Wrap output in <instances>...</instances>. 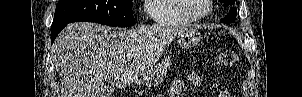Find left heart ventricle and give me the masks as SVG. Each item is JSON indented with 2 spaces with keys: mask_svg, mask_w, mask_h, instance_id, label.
Returning <instances> with one entry per match:
<instances>
[{
  "mask_svg": "<svg viewBox=\"0 0 302 97\" xmlns=\"http://www.w3.org/2000/svg\"><path fill=\"white\" fill-rule=\"evenodd\" d=\"M183 4L192 15H201L207 10L206 0H183Z\"/></svg>",
  "mask_w": 302,
  "mask_h": 97,
  "instance_id": "b2bd125f",
  "label": "left heart ventricle"
}]
</instances>
